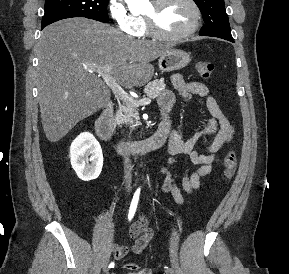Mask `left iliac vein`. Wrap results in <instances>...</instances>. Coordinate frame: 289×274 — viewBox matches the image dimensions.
I'll return each mask as SVG.
<instances>
[{"mask_svg": "<svg viewBox=\"0 0 289 274\" xmlns=\"http://www.w3.org/2000/svg\"><path fill=\"white\" fill-rule=\"evenodd\" d=\"M167 272L170 273V274H175V271L172 268H170L169 271H167Z\"/></svg>", "mask_w": 289, "mask_h": 274, "instance_id": "1", "label": "left iliac vein"}]
</instances>
